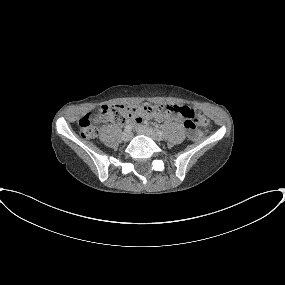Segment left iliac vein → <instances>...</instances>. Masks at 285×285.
I'll return each mask as SVG.
<instances>
[{"mask_svg":"<svg viewBox=\"0 0 285 285\" xmlns=\"http://www.w3.org/2000/svg\"><path fill=\"white\" fill-rule=\"evenodd\" d=\"M137 131L140 134L146 135L150 138H152L153 140H157V135L155 134V132L149 128V127H145V126H141L137 128Z\"/></svg>","mask_w":285,"mask_h":285,"instance_id":"1","label":"left iliac vein"}]
</instances>
